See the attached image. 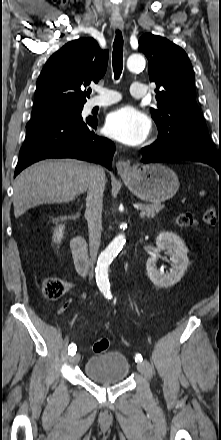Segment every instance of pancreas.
<instances>
[{"label": "pancreas", "mask_w": 221, "mask_h": 440, "mask_svg": "<svg viewBox=\"0 0 221 440\" xmlns=\"http://www.w3.org/2000/svg\"><path fill=\"white\" fill-rule=\"evenodd\" d=\"M164 208V205H161L160 203H154L151 205H140V209L146 213L145 216L151 218L155 217L157 213H159Z\"/></svg>", "instance_id": "obj_1"}]
</instances>
